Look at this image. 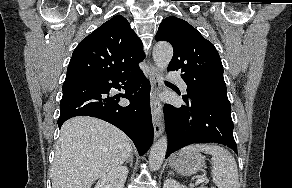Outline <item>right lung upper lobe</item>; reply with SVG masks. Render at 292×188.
Returning a JSON list of instances; mask_svg holds the SVG:
<instances>
[{
	"instance_id": "right-lung-upper-lobe-1",
	"label": "right lung upper lobe",
	"mask_w": 292,
	"mask_h": 188,
	"mask_svg": "<svg viewBox=\"0 0 292 188\" xmlns=\"http://www.w3.org/2000/svg\"><path fill=\"white\" fill-rule=\"evenodd\" d=\"M140 38L122 16H115L85 37L75 48L66 77L122 75L139 69Z\"/></svg>"
}]
</instances>
